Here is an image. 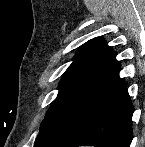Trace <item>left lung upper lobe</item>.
<instances>
[{"mask_svg":"<svg viewBox=\"0 0 145 147\" xmlns=\"http://www.w3.org/2000/svg\"><path fill=\"white\" fill-rule=\"evenodd\" d=\"M111 51L101 37L91 39L82 45L73 63L63 75L58 96L41 123L35 147H44L47 143L54 142L66 130Z\"/></svg>","mask_w":145,"mask_h":147,"instance_id":"5c2ea615","label":"left lung upper lobe"}]
</instances>
